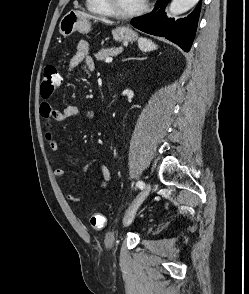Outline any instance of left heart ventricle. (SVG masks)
I'll return each mask as SVG.
<instances>
[{"instance_id":"left-heart-ventricle-1","label":"left heart ventricle","mask_w":249,"mask_h":294,"mask_svg":"<svg viewBox=\"0 0 249 294\" xmlns=\"http://www.w3.org/2000/svg\"><path fill=\"white\" fill-rule=\"evenodd\" d=\"M116 6L124 11L135 10L140 7L144 0H114Z\"/></svg>"}]
</instances>
